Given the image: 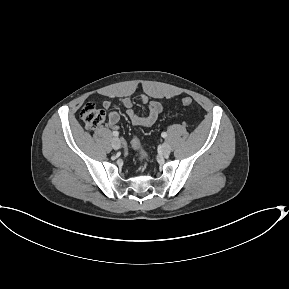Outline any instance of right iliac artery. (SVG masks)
<instances>
[{
    "label": "right iliac artery",
    "instance_id": "82829eb1",
    "mask_svg": "<svg viewBox=\"0 0 289 289\" xmlns=\"http://www.w3.org/2000/svg\"><path fill=\"white\" fill-rule=\"evenodd\" d=\"M113 135L117 137L119 133L117 131H113Z\"/></svg>",
    "mask_w": 289,
    "mask_h": 289
}]
</instances>
